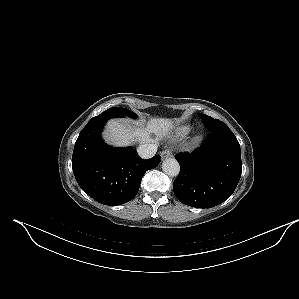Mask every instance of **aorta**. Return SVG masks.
I'll list each match as a JSON object with an SVG mask.
<instances>
[{
    "instance_id": "1",
    "label": "aorta",
    "mask_w": 299,
    "mask_h": 299,
    "mask_svg": "<svg viewBox=\"0 0 299 299\" xmlns=\"http://www.w3.org/2000/svg\"><path fill=\"white\" fill-rule=\"evenodd\" d=\"M162 170L165 174L174 177L179 174L180 166L176 159L167 158L162 163Z\"/></svg>"
}]
</instances>
